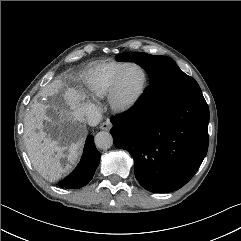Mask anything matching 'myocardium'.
Masks as SVG:
<instances>
[{
    "label": "myocardium",
    "instance_id": "1",
    "mask_svg": "<svg viewBox=\"0 0 241 241\" xmlns=\"http://www.w3.org/2000/svg\"><path fill=\"white\" fill-rule=\"evenodd\" d=\"M129 67L139 68L144 75V79H143V83L140 86L139 90L135 94L130 96L129 98L124 99L119 96L118 81H119V78L122 75V73ZM148 81H149V74L145 67H143L142 65L135 63V62L125 63L113 77L110 88H109V92L107 94L108 102H109V105L111 106V108L115 112L120 113V114H125V113L132 111L144 97L147 86H148Z\"/></svg>",
    "mask_w": 241,
    "mask_h": 241
}]
</instances>
